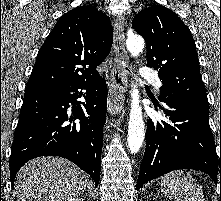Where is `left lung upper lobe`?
I'll return each instance as SVG.
<instances>
[{"label":"left lung upper lobe","mask_w":221,"mask_h":201,"mask_svg":"<svg viewBox=\"0 0 221 201\" xmlns=\"http://www.w3.org/2000/svg\"><path fill=\"white\" fill-rule=\"evenodd\" d=\"M132 27L146 41L147 66L159 69L160 98L208 101L192 34L173 11L153 5L134 17Z\"/></svg>","instance_id":"left-lung-upper-lobe-1"}]
</instances>
